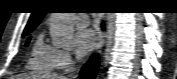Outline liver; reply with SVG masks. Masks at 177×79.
Returning <instances> with one entry per match:
<instances>
[{
  "instance_id": "1",
  "label": "liver",
  "mask_w": 177,
  "mask_h": 79,
  "mask_svg": "<svg viewBox=\"0 0 177 79\" xmlns=\"http://www.w3.org/2000/svg\"><path fill=\"white\" fill-rule=\"evenodd\" d=\"M15 79H67L63 76H58V75H44V76H39V75H19L15 76Z\"/></svg>"
}]
</instances>
